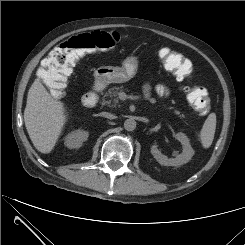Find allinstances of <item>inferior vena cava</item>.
Segmentation results:
<instances>
[{"instance_id": "1", "label": "inferior vena cava", "mask_w": 245, "mask_h": 245, "mask_svg": "<svg viewBox=\"0 0 245 245\" xmlns=\"http://www.w3.org/2000/svg\"><path fill=\"white\" fill-rule=\"evenodd\" d=\"M102 116L105 118H108V119H115L116 118V116H114L113 114L108 113V112H103Z\"/></svg>"}]
</instances>
